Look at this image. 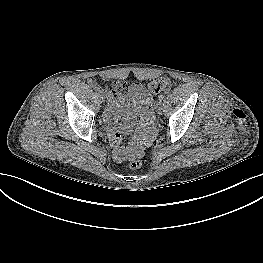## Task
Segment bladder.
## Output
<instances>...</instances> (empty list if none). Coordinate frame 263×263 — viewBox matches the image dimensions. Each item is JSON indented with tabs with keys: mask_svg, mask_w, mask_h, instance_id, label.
<instances>
[{
	"mask_svg": "<svg viewBox=\"0 0 263 263\" xmlns=\"http://www.w3.org/2000/svg\"><path fill=\"white\" fill-rule=\"evenodd\" d=\"M144 104L140 102V98L137 95H130L126 98V104L121 109V113L124 117L134 119L139 112L144 110Z\"/></svg>",
	"mask_w": 263,
	"mask_h": 263,
	"instance_id": "1",
	"label": "bladder"
}]
</instances>
